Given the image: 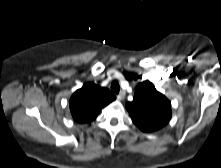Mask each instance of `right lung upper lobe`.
Listing matches in <instances>:
<instances>
[{"label": "right lung upper lobe", "mask_w": 221, "mask_h": 168, "mask_svg": "<svg viewBox=\"0 0 221 168\" xmlns=\"http://www.w3.org/2000/svg\"><path fill=\"white\" fill-rule=\"evenodd\" d=\"M116 99L107 88L94 83H87L71 96L69 101L70 112L78 123L94 120L99 111Z\"/></svg>", "instance_id": "obj_1"}]
</instances>
